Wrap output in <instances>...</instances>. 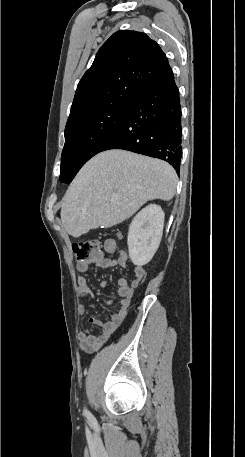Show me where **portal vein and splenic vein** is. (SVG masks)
Masks as SVG:
<instances>
[{"label":"portal vein and splenic vein","instance_id":"1","mask_svg":"<svg viewBox=\"0 0 245 457\" xmlns=\"http://www.w3.org/2000/svg\"><path fill=\"white\" fill-rule=\"evenodd\" d=\"M113 200H116L117 196H112Z\"/></svg>","mask_w":245,"mask_h":457}]
</instances>
